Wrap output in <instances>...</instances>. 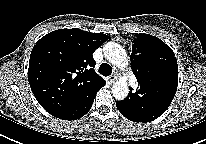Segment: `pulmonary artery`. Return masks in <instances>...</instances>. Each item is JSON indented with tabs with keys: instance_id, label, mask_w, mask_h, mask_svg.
Instances as JSON below:
<instances>
[{
	"instance_id": "obj_1",
	"label": "pulmonary artery",
	"mask_w": 206,
	"mask_h": 144,
	"mask_svg": "<svg viewBox=\"0 0 206 144\" xmlns=\"http://www.w3.org/2000/svg\"><path fill=\"white\" fill-rule=\"evenodd\" d=\"M130 82H131V84L134 86V87H136L137 85H136V83H135V81H134V79H130Z\"/></svg>"
}]
</instances>
